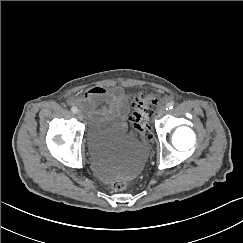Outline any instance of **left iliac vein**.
Masks as SVG:
<instances>
[{"label": "left iliac vein", "mask_w": 243, "mask_h": 243, "mask_svg": "<svg viewBox=\"0 0 243 243\" xmlns=\"http://www.w3.org/2000/svg\"><path fill=\"white\" fill-rule=\"evenodd\" d=\"M166 113V109L164 107H160L157 111V118L162 117Z\"/></svg>", "instance_id": "4c4485c4"}]
</instances>
